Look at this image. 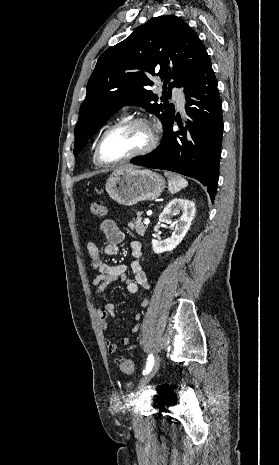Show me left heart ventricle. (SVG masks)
<instances>
[{
	"label": "left heart ventricle",
	"instance_id": "obj_1",
	"mask_svg": "<svg viewBox=\"0 0 279 465\" xmlns=\"http://www.w3.org/2000/svg\"><path fill=\"white\" fill-rule=\"evenodd\" d=\"M148 141L149 131L145 126L121 127L107 135L102 145V155L107 160H117L139 151Z\"/></svg>",
	"mask_w": 279,
	"mask_h": 465
}]
</instances>
